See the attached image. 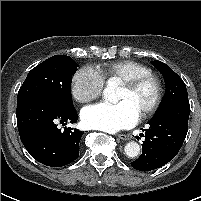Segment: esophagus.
<instances>
[{
	"label": "esophagus",
	"instance_id": "1",
	"mask_svg": "<svg viewBox=\"0 0 201 201\" xmlns=\"http://www.w3.org/2000/svg\"><path fill=\"white\" fill-rule=\"evenodd\" d=\"M118 139L120 140H130L131 139V136L130 135H126V134H119L117 135Z\"/></svg>",
	"mask_w": 201,
	"mask_h": 201
}]
</instances>
